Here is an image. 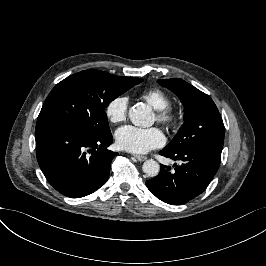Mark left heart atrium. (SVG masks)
Here are the masks:
<instances>
[{"mask_svg": "<svg viewBox=\"0 0 266 266\" xmlns=\"http://www.w3.org/2000/svg\"><path fill=\"white\" fill-rule=\"evenodd\" d=\"M117 144L124 150L144 153L165 143V136L158 127L125 125L116 131Z\"/></svg>", "mask_w": 266, "mask_h": 266, "instance_id": "1", "label": "left heart atrium"}]
</instances>
